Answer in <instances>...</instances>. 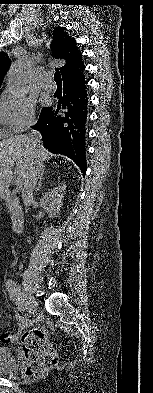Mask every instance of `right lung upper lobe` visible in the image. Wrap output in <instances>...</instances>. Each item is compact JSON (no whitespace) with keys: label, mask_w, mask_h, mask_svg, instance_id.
I'll return each mask as SVG.
<instances>
[{"label":"right lung upper lobe","mask_w":153,"mask_h":393,"mask_svg":"<svg viewBox=\"0 0 153 393\" xmlns=\"http://www.w3.org/2000/svg\"><path fill=\"white\" fill-rule=\"evenodd\" d=\"M53 56L64 59L66 64L59 68L62 73V79L71 73L80 71L84 68L81 61L82 54L76 48V41L66 35L64 28L56 27L54 29V39L52 43ZM10 65V59L4 52H0V84L5 72Z\"/></svg>","instance_id":"1"}]
</instances>
